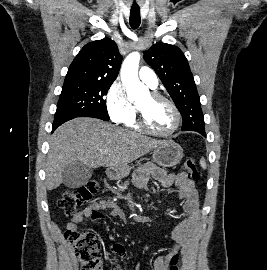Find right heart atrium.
I'll use <instances>...</instances> for the list:
<instances>
[{"label":"right heart atrium","mask_w":267,"mask_h":270,"mask_svg":"<svg viewBox=\"0 0 267 270\" xmlns=\"http://www.w3.org/2000/svg\"><path fill=\"white\" fill-rule=\"evenodd\" d=\"M106 109L109 117L116 123L125 124L135 116V107L126 96L124 87L114 82L106 94Z\"/></svg>","instance_id":"1"}]
</instances>
